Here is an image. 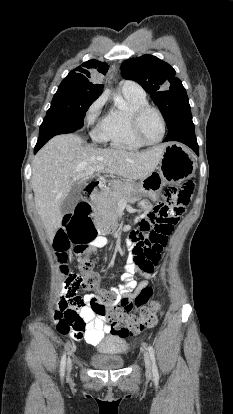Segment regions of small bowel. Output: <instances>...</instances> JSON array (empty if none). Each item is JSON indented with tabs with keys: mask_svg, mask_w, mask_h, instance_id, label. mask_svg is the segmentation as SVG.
I'll use <instances>...</instances> for the list:
<instances>
[{
	"mask_svg": "<svg viewBox=\"0 0 233 414\" xmlns=\"http://www.w3.org/2000/svg\"><path fill=\"white\" fill-rule=\"evenodd\" d=\"M175 222L184 212L185 206L173 208ZM173 224V225H174ZM169 235V234H168ZM107 244V239L103 235H98L92 241L93 248H102ZM130 252L127 262L124 266L123 273L120 276V285L112 284L111 290L119 298H133L142 289L146 288L153 278V271L141 270L133 261L131 256L132 245L129 243L125 248ZM75 255H81L82 250L75 247ZM138 273L144 277V280L137 283L133 276ZM66 283L62 284V292H65L57 300V309L54 312L53 321L61 334L69 335L73 340L84 339L90 345H96L104 336L110 332L109 326L105 323V316L108 310L104 307L103 302H98L92 298V292L86 291L85 296H79L77 293L84 286V273L79 270H69Z\"/></svg>",
	"mask_w": 233,
	"mask_h": 414,
	"instance_id": "c3829d8e",
	"label": "small bowel"
}]
</instances>
